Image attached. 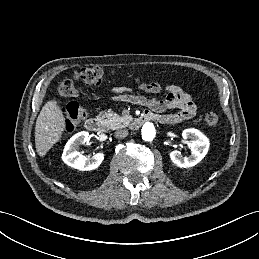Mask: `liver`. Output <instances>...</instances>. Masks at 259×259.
Returning <instances> with one entry per match:
<instances>
[{
    "label": "liver",
    "instance_id": "1",
    "mask_svg": "<svg viewBox=\"0 0 259 259\" xmlns=\"http://www.w3.org/2000/svg\"><path fill=\"white\" fill-rule=\"evenodd\" d=\"M65 129V118L55 99L49 100L42 107L35 125V146L40 157L56 144Z\"/></svg>",
    "mask_w": 259,
    "mask_h": 259
}]
</instances>
